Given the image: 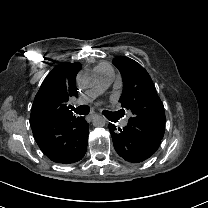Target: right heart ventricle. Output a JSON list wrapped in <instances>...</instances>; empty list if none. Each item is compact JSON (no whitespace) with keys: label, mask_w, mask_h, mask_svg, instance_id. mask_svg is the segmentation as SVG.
<instances>
[{"label":"right heart ventricle","mask_w":208,"mask_h":208,"mask_svg":"<svg viewBox=\"0 0 208 208\" xmlns=\"http://www.w3.org/2000/svg\"><path fill=\"white\" fill-rule=\"evenodd\" d=\"M109 64L102 62L100 63L96 68H95V72L104 69L105 67H107Z\"/></svg>","instance_id":"e07e8e85"}]
</instances>
